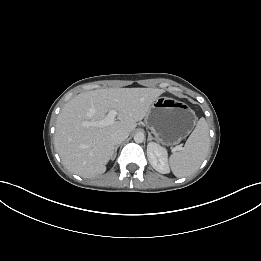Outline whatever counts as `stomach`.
Here are the masks:
<instances>
[{
  "label": "stomach",
  "mask_w": 261,
  "mask_h": 261,
  "mask_svg": "<svg viewBox=\"0 0 261 261\" xmlns=\"http://www.w3.org/2000/svg\"><path fill=\"white\" fill-rule=\"evenodd\" d=\"M157 141L174 145L183 140L197 125V117L186 103L169 97L157 98L145 117Z\"/></svg>",
  "instance_id": "obj_1"
}]
</instances>
